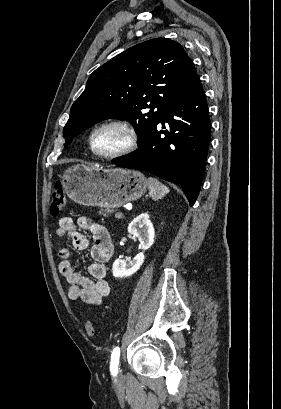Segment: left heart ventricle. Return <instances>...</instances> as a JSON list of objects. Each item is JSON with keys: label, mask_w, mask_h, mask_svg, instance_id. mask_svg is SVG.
Segmentation results:
<instances>
[{"label": "left heart ventricle", "mask_w": 281, "mask_h": 409, "mask_svg": "<svg viewBox=\"0 0 281 409\" xmlns=\"http://www.w3.org/2000/svg\"><path fill=\"white\" fill-rule=\"evenodd\" d=\"M122 142V135L116 131L100 133L96 138V149L106 153L116 149Z\"/></svg>", "instance_id": "b2bd125f"}]
</instances>
